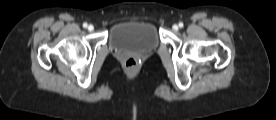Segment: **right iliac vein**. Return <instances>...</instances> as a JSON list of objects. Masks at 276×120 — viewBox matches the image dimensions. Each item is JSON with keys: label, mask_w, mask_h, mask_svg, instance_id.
Segmentation results:
<instances>
[{"label": "right iliac vein", "mask_w": 276, "mask_h": 120, "mask_svg": "<svg viewBox=\"0 0 276 120\" xmlns=\"http://www.w3.org/2000/svg\"><path fill=\"white\" fill-rule=\"evenodd\" d=\"M94 30V26L93 25H89L88 26V31L92 32Z\"/></svg>", "instance_id": "obj_1"}]
</instances>
